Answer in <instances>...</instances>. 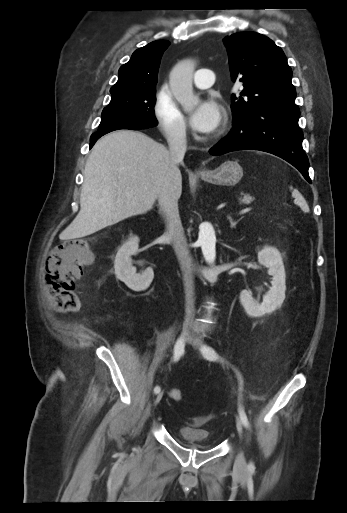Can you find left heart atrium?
<instances>
[{
	"label": "left heart atrium",
	"instance_id": "39dd6f15",
	"mask_svg": "<svg viewBox=\"0 0 347 513\" xmlns=\"http://www.w3.org/2000/svg\"><path fill=\"white\" fill-rule=\"evenodd\" d=\"M222 122V109L213 98L201 100L190 115L191 127L204 134L215 132Z\"/></svg>",
	"mask_w": 347,
	"mask_h": 513
}]
</instances>
